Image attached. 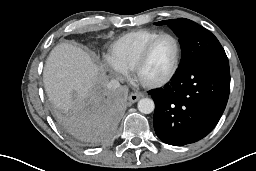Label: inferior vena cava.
Returning <instances> with one entry per match:
<instances>
[{
    "instance_id": "602c4592",
    "label": "inferior vena cava",
    "mask_w": 256,
    "mask_h": 171,
    "mask_svg": "<svg viewBox=\"0 0 256 171\" xmlns=\"http://www.w3.org/2000/svg\"><path fill=\"white\" fill-rule=\"evenodd\" d=\"M120 87V83L118 80H111L108 84H107V88L110 90H115L117 88Z\"/></svg>"
}]
</instances>
